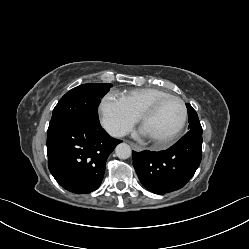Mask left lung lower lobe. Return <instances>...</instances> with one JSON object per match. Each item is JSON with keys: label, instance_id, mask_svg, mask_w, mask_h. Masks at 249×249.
I'll return each mask as SVG.
<instances>
[{"label": "left lung lower lobe", "instance_id": "0a47b994", "mask_svg": "<svg viewBox=\"0 0 249 249\" xmlns=\"http://www.w3.org/2000/svg\"><path fill=\"white\" fill-rule=\"evenodd\" d=\"M133 166L148 190L165 194L182 188L194 175L202 158V134H186L159 152H132Z\"/></svg>", "mask_w": 249, "mask_h": 249}]
</instances>
